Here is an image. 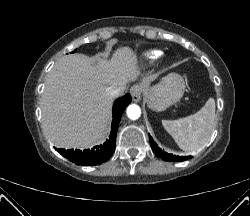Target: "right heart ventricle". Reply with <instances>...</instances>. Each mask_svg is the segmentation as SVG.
<instances>
[{
  "label": "right heart ventricle",
  "instance_id": "obj_1",
  "mask_svg": "<svg viewBox=\"0 0 250 216\" xmlns=\"http://www.w3.org/2000/svg\"><path fill=\"white\" fill-rule=\"evenodd\" d=\"M162 55L160 50H150L144 53L143 57L146 62L153 63L157 61Z\"/></svg>",
  "mask_w": 250,
  "mask_h": 216
}]
</instances>
